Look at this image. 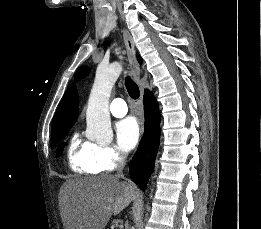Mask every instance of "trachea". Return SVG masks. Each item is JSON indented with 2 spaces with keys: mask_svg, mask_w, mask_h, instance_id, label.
Segmentation results:
<instances>
[{
  "mask_svg": "<svg viewBox=\"0 0 261 229\" xmlns=\"http://www.w3.org/2000/svg\"><path fill=\"white\" fill-rule=\"evenodd\" d=\"M125 86L128 91V94L132 99H138L140 92L138 85L130 78L126 77L125 79Z\"/></svg>",
  "mask_w": 261,
  "mask_h": 229,
  "instance_id": "1",
  "label": "trachea"
}]
</instances>
